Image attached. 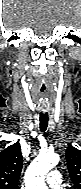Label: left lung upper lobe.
<instances>
[{
    "label": "left lung upper lobe",
    "mask_w": 81,
    "mask_h": 189,
    "mask_svg": "<svg viewBox=\"0 0 81 189\" xmlns=\"http://www.w3.org/2000/svg\"><path fill=\"white\" fill-rule=\"evenodd\" d=\"M65 157L70 178L75 187L81 189V150L68 146Z\"/></svg>",
    "instance_id": "obj_1"
}]
</instances>
